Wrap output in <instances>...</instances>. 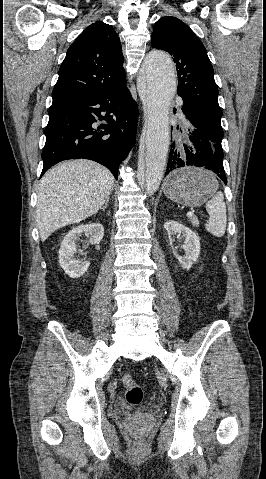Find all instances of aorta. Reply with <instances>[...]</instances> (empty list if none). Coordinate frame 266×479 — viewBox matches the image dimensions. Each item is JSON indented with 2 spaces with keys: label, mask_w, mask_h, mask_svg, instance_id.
Segmentation results:
<instances>
[{
  "label": "aorta",
  "mask_w": 266,
  "mask_h": 479,
  "mask_svg": "<svg viewBox=\"0 0 266 479\" xmlns=\"http://www.w3.org/2000/svg\"><path fill=\"white\" fill-rule=\"evenodd\" d=\"M138 91L147 111L144 181L148 195H153L164 175L170 143L169 112L176 91L172 59L162 51L150 52L144 61Z\"/></svg>",
  "instance_id": "aorta-1"
}]
</instances>
